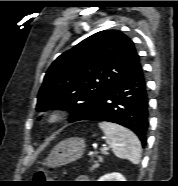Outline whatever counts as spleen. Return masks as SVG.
<instances>
[{
    "label": "spleen",
    "instance_id": "1",
    "mask_svg": "<svg viewBox=\"0 0 178 186\" xmlns=\"http://www.w3.org/2000/svg\"><path fill=\"white\" fill-rule=\"evenodd\" d=\"M99 126L117 157L127 159L135 165L140 163L141 143L132 131L111 122H100Z\"/></svg>",
    "mask_w": 178,
    "mask_h": 186
}]
</instances>
